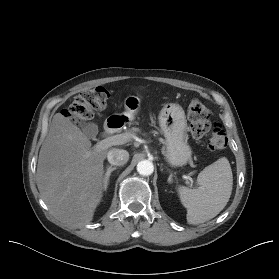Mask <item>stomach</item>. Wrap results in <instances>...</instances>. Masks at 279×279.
Segmentation results:
<instances>
[{"instance_id":"obj_1","label":"stomach","mask_w":279,"mask_h":279,"mask_svg":"<svg viewBox=\"0 0 279 279\" xmlns=\"http://www.w3.org/2000/svg\"><path fill=\"white\" fill-rule=\"evenodd\" d=\"M125 111L120 117L132 121L140 108L137 96H128L124 101ZM159 126L165 137V157L172 166H183L191 158L187 144V120L183 108L174 103L166 104L159 113Z\"/></svg>"}]
</instances>
